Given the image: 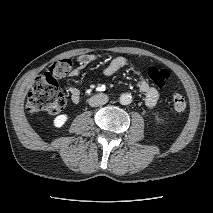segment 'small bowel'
Instances as JSON below:
<instances>
[{
    "label": "small bowel",
    "instance_id": "small-bowel-1",
    "mask_svg": "<svg viewBox=\"0 0 213 213\" xmlns=\"http://www.w3.org/2000/svg\"><path fill=\"white\" fill-rule=\"evenodd\" d=\"M96 60L97 56L94 54H85L79 56L77 58V66L70 70L69 76H79L86 67L94 63ZM129 65L132 66V63L128 58L124 56H118L111 60L110 63L104 68L103 74L105 76H112L121 68ZM138 85L141 92L145 95L146 106L148 108H153L156 106L159 100V91L155 87L151 86L144 78H140ZM68 92L70 94L71 100L74 103H78L80 100V91L74 86H69Z\"/></svg>",
    "mask_w": 213,
    "mask_h": 213
}]
</instances>
